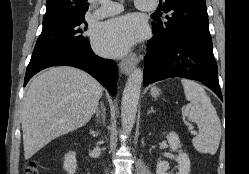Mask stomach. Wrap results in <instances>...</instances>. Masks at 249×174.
Here are the masks:
<instances>
[{
  "mask_svg": "<svg viewBox=\"0 0 249 174\" xmlns=\"http://www.w3.org/2000/svg\"><path fill=\"white\" fill-rule=\"evenodd\" d=\"M151 95L155 98L158 97L160 95V90L156 87H152L151 88Z\"/></svg>",
  "mask_w": 249,
  "mask_h": 174,
  "instance_id": "obj_1",
  "label": "stomach"
}]
</instances>
